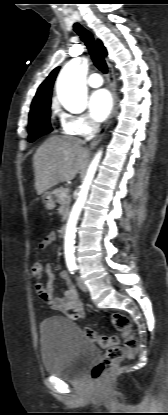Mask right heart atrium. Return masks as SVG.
Instances as JSON below:
<instances>
[{"label": "right heart atrium", "mask_w": 168, "mask_h": 415, "mask_svg": "<svg viewBox=\"0 0 168 415\" xmlns=\"http://www.w3.org/2000/svg\"><path fill=\"white\" fill-rule=\"evenodd\" d=\"M59 120L63 131L71 135L88 136L97 129L96 123L85 114L60 112Z\"/></svg>", "instance_id": "obj_1"}]
</instances>
